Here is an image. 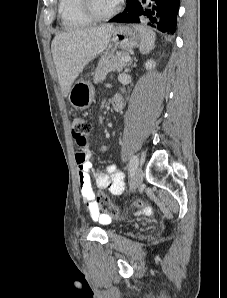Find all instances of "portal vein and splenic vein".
Returning a JSON list of instances; mask_svg holds the SVG:
<instances>
[{
	"mask_svg": "<svg viewBox=\"0 0 227 298\" xmlns=\"http://www.w3.org/2000/svg\"><path fill=\"white\" fill-rule=\"evenodd\" d=\"M130 60V56H125L121 59V62H128Z\"/></svg>",
	"mask_w": 227,
	"mask_h": 298,
	"instance_id": "1",
	"label": "portal vein and splenic vein"
}]
</instances>
